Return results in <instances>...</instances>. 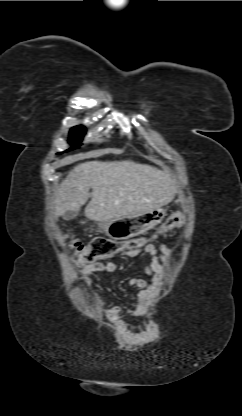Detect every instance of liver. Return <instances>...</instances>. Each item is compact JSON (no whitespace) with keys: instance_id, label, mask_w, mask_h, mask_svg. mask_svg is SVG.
<instances>
[{"instance_id":"liver-1","label":"liver","mask_w":242,"mask_h":416,"mask_svg":"<svg viewBox=\"0 0 242 416\" xmlns=\"http://www.w3.org/2000/svg\"><path fill=\"white\" fill-rule=\"evenodd\" d=\"M93 221L143 214L170 203L178 187L166 170L131 160L89 161L75 166L62 181L54 202L55 218L79 210Z\"/></svg>"}]
</instances>
